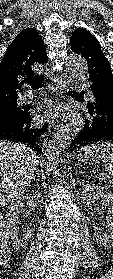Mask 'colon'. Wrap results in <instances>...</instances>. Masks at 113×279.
<instances>
[{
  "mask_svg": "<svg viewBox=\"0 0 113 279\" xmlns=\"http://www.w3.org/2000/svg\"><path fill=\"white\" fill-rule=\"evenodd\" d=\"M9 252L8 238L4 226L0 220V258L7 256Z\"/></svg>",
  "mask_w": 113,
  "mask_h": 279,
  "instance_id": "obj_1",
  "label": "colon"
}]
</instances>
